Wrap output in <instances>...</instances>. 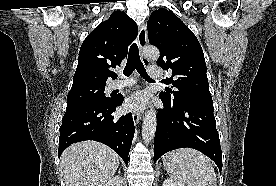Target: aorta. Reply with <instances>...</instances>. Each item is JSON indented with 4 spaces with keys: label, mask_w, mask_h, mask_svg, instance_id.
<instances>
[{
    "label": "aorta",
    "mask_w": 276,
    "mask_h": 186,
    "mask_svg": "<svg viewBox=\"0 0 276 186\" xmlns=\"http://www.w3.org/2000/svg\"><path fill=\"white\" fill-rule=\"evenodd\" d=\"M145 58L151 61H156L159 58V50L156 47H146L143 50ZM157 126L156 112L153 107H150L145 113V117L142 125V138L144 143H149L155 135Z\"/></svg>",
    "instance_id": "aorta-1"
}]
</instances>
